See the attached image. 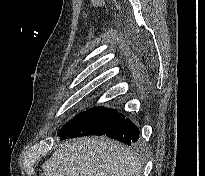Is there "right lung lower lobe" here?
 <instances>
[{"label":"right lung lower lobe","mask_w":205,"mask_h":176,"mask_svg":"<svg viewBox=\"0 0 205 176\" xmlns=\"http://www.w3.org/2000/svg\"><path fill=\"white\" fill-rule=\"evenodd\" d=\"M139 133L140 132L137 126L134 125V123L129 118L124 117L121 122L105 133V135L124 144L131 145L138 141ZM60 138L62 140L67 139L62 137Z\"/></svg>","instance_id":"1"}]
</instances>
